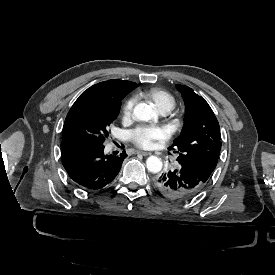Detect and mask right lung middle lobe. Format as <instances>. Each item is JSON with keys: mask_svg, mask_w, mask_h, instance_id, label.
Segmentation results:
<instances>
[{"mask_svg": "<svg viewBox=\"0 0 275 275\" xmlns=\"http://www.w3.org/2000/svg\"><path fill=\"white\" fill-rule=\"evenodd\" d=\"M120 107L121 104L97 103L69 112L63 127L62 142L81 140L103 145Z\"/></svg>", "mask_w": 275, "mask_h": 275, "instance_id": "dd1d6c3e", "label": "right lung middle lobe"}]
</instances>
